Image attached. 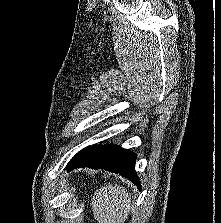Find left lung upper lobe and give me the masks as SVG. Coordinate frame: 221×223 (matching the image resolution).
<instances>
[{"instance_id": "5c2ea615", "label": "left lung upper lobe", "mask_w": 221, "mask_h": 223, "mask_svg": "<svg viewBox=\"0 0 221 223\" xmlns=\"http://www.w3.org/2000/svg\"><path fill=\"white\" fill-rule=\"evenodd\" d=\"M89 147V146H88ZM88 147H86V148H84V149H82L80 152H78L72 159H71V161L70 162H72L76 157H78L84 150H86ZM70 162L68 163V165L70 164ZM67 165V166H68Z\"/></svg>"}]
</instances>
